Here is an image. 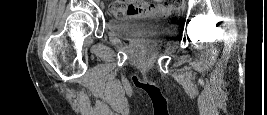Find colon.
<instances>
[{
    "mask_svg": "<svg viewBox=\"0 0 267 115\" xmlns=\"http://www.w3.org/2000/svg\"><path fill=\"white\" fill-rule=\"evenodd\" d=\"M183 4L184 0H168L165 2V5L169 8L171 15H176ZM127 13H132L131 6L123 3H114L108 9V14L115 18Z\"/></svg>",
    "mask_w": 267,
    "mask_h": 115,
    "instance_id": "1",
    "label": "colon"
}]
</instances>
